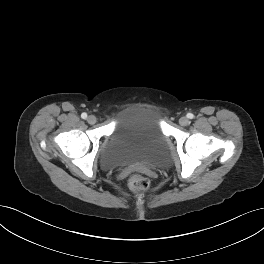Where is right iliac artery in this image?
Returning a JSON list of instances; mask_svg holds the SVG:
<instances>
[{"label":"right iliac artery","instance_id":"right-iliac-artery-1","mask_svg":"<svg viewBox=\"0 0 264 264\" xmlns=\"http://www.w3.org/2000/svg\"><path fill=\"white\" fill-rule=\"evenodd\" d=\"M81 117H82L83 119H86V118H87V114H86V113H82V114H81Z\"/></svg>","mask_w":264,"mask_h":264}]
</instances>
